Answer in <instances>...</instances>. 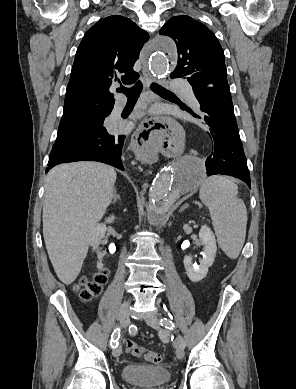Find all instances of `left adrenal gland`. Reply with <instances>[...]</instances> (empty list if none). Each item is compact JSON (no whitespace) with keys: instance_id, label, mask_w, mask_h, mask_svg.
Masks as SVG:
<instances>
[{"instance_id":"obj_1","label":"left adrenal gland","mask_w":296,"mask_h":389,"mask_svg":"<svg viewBox=\"0 0 296 389\" xmlns=\"http://www.w3.org/2000/svg\"><path fill=\"white\" fill-rule=\"evenodd\" d=\"M187 207H188V204H184V205L179 209V212H182V211L185 210Z\"/></svg>"}]
</instances>
